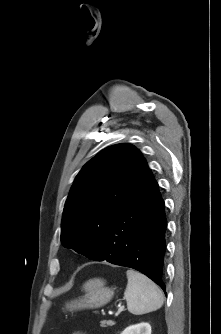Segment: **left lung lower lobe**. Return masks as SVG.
<instances>
[{"label": "left lung lower lobe", "mask_w": 221, "mask_h": 334, "mask_svg": "<svg viewBox=\"0 0 221 334\" xmlns=\"http://www.w3.org/2000/svg\"><path fill=\"white\" fill-rule=\"evenodd\" d=\"M166 228L164 201L148 170L111 221L95 260L134 268L166 294L163 282Z\"/></svg>", "instance_id": "obj_1"}]
</instances>
